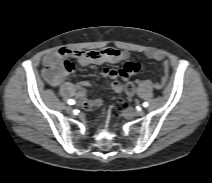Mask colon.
Here are the masks:
<instances>
[{
	"instance_id": "5ec220e1",
	"label": "colon",
	"mask_w": 212,
	"mask_h": 183,
	"mask_svg": "<svg viewBox=\"0 0 212 183\" xmlns=\"http://www.w3.org/2000/svg\"><path fill=\"white\" fill-rule=\"evenodd\" d=\"M63 68L64 70L71 72L74 69V64L72 62L66 61ZM134 89H135V86L132 82H129L125 85V93L128 99L132 97L134 93ZM118 115H119V106L117 105L113 109V116L118 117Z\"/></svg>"
}]
</instances>
